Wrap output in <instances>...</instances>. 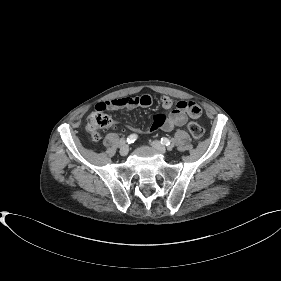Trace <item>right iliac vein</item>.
<instances>
[{"label":"right iliac vein","instance_id":"63e3f726","mask_svg":"<svg viewBox=\"0 0 281 281\" xmlns=\"http://www.w3.org/2000/svg\"><path fill=\"white\" fill-rule=\"evenodd\" d=\"M119 152L122 156H126L129 152V146L127 144L122 145Z\"/></svg>","mask_w":281,"mask_h":281}]
</instances>
